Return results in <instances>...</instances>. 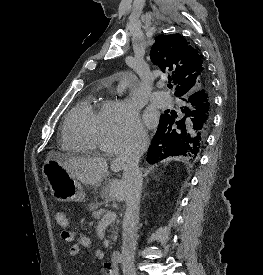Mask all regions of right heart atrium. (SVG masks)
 <instances>
[{
  "instance_id": "d8ad5b80",
  "label": "right heart atrium",
  "mask_w": 263,
  "mask_h": 275,
  "mask_svg": "<svg viewBox=\"0 0 263 275\" xmlns=\"http://www.w3.org/2000/svg\"><path fill=\"white\" fill-rule=\"evenodd\" d=\"M147 135L133 105L127 101L110 100L105 103L102 130V149L117 154L143 144Z\"/></svg>"
}]
</instances>
